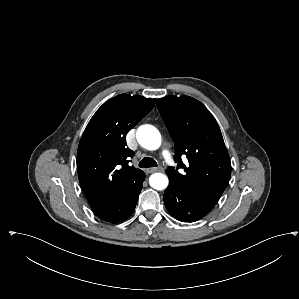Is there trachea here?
<instances>
[{
  "mask_svg": "<svg viewBox=\"0 0 299 299\" xmlns=\"http://www.w3.org/2000/svg\"><path fill=\"white\" fill-rule=\"evenodd\" d=\"M139 167L141 168L157 167V162L153 158L144 157L140 161Z\"/></svg>",
  "mask_w": 299,
  "mask_h": 299,
  "instance_id": "3493384b",
  "label": "trachea"
}]
</instances>
